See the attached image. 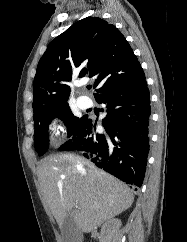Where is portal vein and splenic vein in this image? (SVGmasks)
<instances>
[{
  "mask_svg": "<svg viewBox=\"0 0 187 242\" xmlns=\"http://www.w3.org/2000/svg\"><path fill=\"white\" fill-rule=\"evenodd\" d=\"M75 205H76V208H79L78 202H76Z\"/></svg>",
  "mask_w": 187,
  "mask_h": 242,
  "instance_id": "obj_1",
  "label": "portal vein and splenic vein"
}]
</instances>
